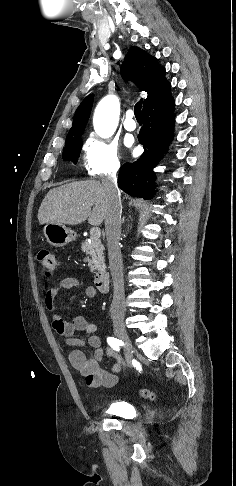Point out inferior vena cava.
I'll list each match as a JSON object with an SVG mask.
<instances>
[{
	"mask_svg": "<svg viewBox=\"0 0 236 486\" xmlns=\"http://www.w3.org/2000/svg\"><path fill=\"white\" fill-rule=\"evenodd\" d=\"M120 165L112 168L111 172L102 178V185L108 196V209L105 217V230L108 247L109 268L113 280L114 293L111 304V314H122L124 305L123 262L119 238L121 234V194L117 186V171Z\"/></svg>",
	"mask_w": 236,
	"mask_h": 486,
	"instance_id": "1",
	"label": "inferior vena cava"
}]
</instances>
